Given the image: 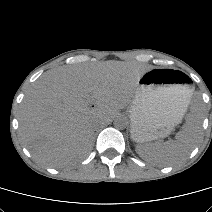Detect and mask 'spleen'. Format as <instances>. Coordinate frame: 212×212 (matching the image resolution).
Wrapping results in <instances>:
<instances>
[{"label": "spleen", "instance_id": "1", "mask_svg": "<svg viewBox=\"0 0 212 212\" xmlns=\"http://www.w3.org/2000/svg\"><path fill=\"white\" fill-rule=\"evenodd\" d=\"M200 125L187 121L175 140L137 145V153L146 161L159 165H172L184 160L194 148Z\"/></svg>", "mask_w": 212, "mask_h": 212}]
</instances>
